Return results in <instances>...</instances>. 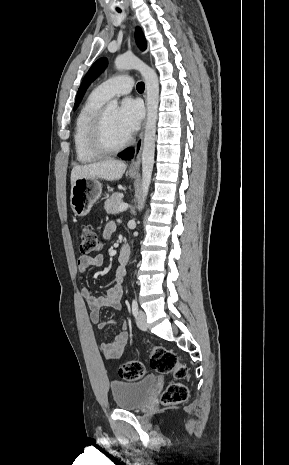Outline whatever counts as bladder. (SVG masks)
<instances>
[{
    "label": "bladder",
    "instance_id": "bladder-1",
    "mask_svg": "<svg viewBox=\"0 0 289 465\" xmlns=\"http://www.w3.org/2000/svg\"><path fill=\"white\" fill-rule=\"evenodd\" d=\"M156 385V376L150 375L134 382L113 381L110 391L117 408L135 410L147 403Z\"/></svg>",
    "mask_w": 289,
    "mask_h": 465
}]
</instances>
